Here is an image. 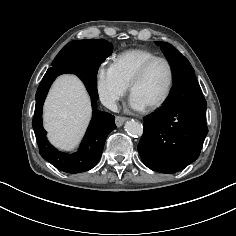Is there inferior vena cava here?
<instances>
[{"mask_svg":"<svg viewBox=\"0 0 236 236\" xmlns=\"http://www.w3.org/2000/svg\"><path fill=\"white\" fill-rule=\"evenodd\" d=\"M104 105L113 112H118V106L114 99L109 98L104 100Z\"/></svg>","mask_w":236,"mask_h":236,"instance_id":"inferior-vena-cava-1","label":"inferior vena cava"}]
</instances>
